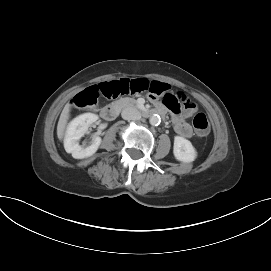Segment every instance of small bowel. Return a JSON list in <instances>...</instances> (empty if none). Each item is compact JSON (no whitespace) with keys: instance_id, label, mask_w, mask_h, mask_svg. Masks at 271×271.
I'll return each mask as SVG.
<instances>
[{"instance_id":"obj_1","label":"small bowel","mask_w":271,"mask_h":271,"mask_svg":"<svg viewBox=\"0 0 271 271\" xmlns=\"http://www.w3.org/2000/svg\"><path fill=\"white\" fill-rule=\"evenodd\" d=\"M168 87L167 80H154L152 82V86H149L148 93L150 99L153 103L158 105L159 107L162 106L161 101L152 96V95H165L166 89ZM175 131L184 138H190L192 136V128L191 126L183 119L180 115H175L173 118Z\"/></svg>"}]
</instances>
